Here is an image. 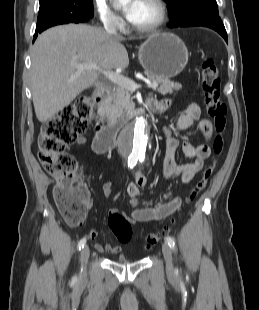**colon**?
Here are the masks:
<instances>
[{
    "mask_svg": "<svg viewBox=\"0 0 259 310\" xmlns=\"http://www.w3.org/2000/svg\"><path fill=\"white\" fill-rule=\"evenodd\" d=\"M201 88L204 105L212 119L216 136L213 149L216 155L224 151V132L227 126L226 106L220 99L221 80L214 60L207 55L201 59ZM94 96L86 94L65 106L56 116L43 123L39 134V160L45 170L55 179L53 197L56 206L70 225L84 220L91 203V193L81 181V174L75 158L65 151L66 146L84 134L93 120ZM215 165L207 166L198 181L191 187L187 200L192 201L206 186ZM111 232L120 243H128L132 238L130 221L121 213L113 212L108 218ZM164 231L146 235L145 247L152 248L161 239Z\"/></svg>",
    "mask_w": 259,
    "mask_h": 310,
    "instance_id": "5ec220e1",
    "label": "colon"
}]
</instances>
